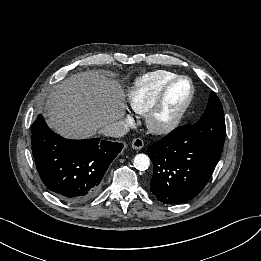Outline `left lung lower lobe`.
Segmentation results:
<instances>
[{
    "mask_svg": "<svg viewBox=\"0 0 261 261\" xmlns=\"http://www.w3.org/2000/svg\"><path fill=\"white\" fill-rule=\"evenodd\" d=\"M197 135L195 124L180 126L147 150L154 167L150 190L164 204L193 199L221 157V151L200 144Z\"/></svg>",
    "mask_w": 261,
    "mask_h": 261,
    "instance_id": "obj_1",
    "label": "left lung lower lobe"
}]
</instances>
